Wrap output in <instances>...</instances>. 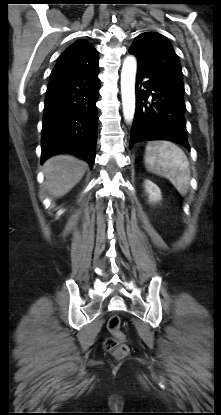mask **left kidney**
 <instances>
[{
  "label": "left kidney",
  "instance_id": "1",
  "mask_svg": "<svg viewBox=\"0 0 221 415\" xmlns=\"http://www.w3.org/2000/svg\"><path fill=\"white\" fill-rule=\"evenodd\" d=\"M144 187L150 203H157L161 200V191L159 187L149 180L144 181Z\"/></svg>",
  "mask_w": 221,
  "mask_h": 415
}]
</instances>
